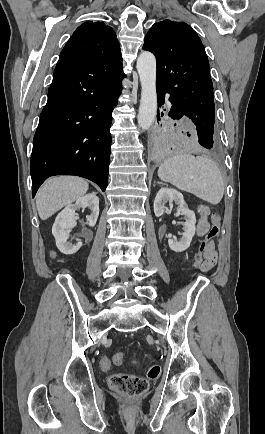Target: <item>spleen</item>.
I'll list each match as a JSON object with an SVG mask.
<instances>
[{
    "label": "spleen",
    "instance_id": "obj_1",
    "mask_svg": "<svg viewBox=\"0 0 265 434\" xmlns=\"http://www.w3.org/2000/svg\"><path fill=\"white\" fill-rule=\"evenodd\" d=\"M158 176L179 190L194 194L200 200L219 204L224 194L222 174L214 160L207 156L177 154L160 164Z\"/></svg>",
    "mask_w": 265,
    "mask_h": 434
}]
</instances>
